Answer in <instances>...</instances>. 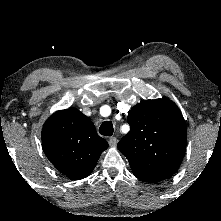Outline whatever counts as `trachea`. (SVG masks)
Masks as SVG:
<instances>
[{
    "mask_svg": "<svg viewBox=\"0 0 221 221\" xmlns=\"http://www.w3.org/2000/svg\"><path fill=\"white\" fill-rule=\"evenodd\" d=\"M113 132L114 128L111 121H104L99 128V133L104 136H112Z\"/></svg>",
    "mask_w": 221,
    "mask_h": 221,
    "instance_id": "1",
    "label": "trachea"
}]
</instances>
